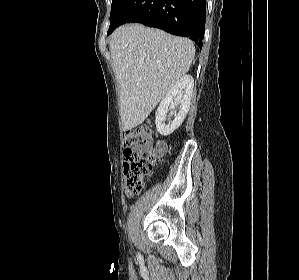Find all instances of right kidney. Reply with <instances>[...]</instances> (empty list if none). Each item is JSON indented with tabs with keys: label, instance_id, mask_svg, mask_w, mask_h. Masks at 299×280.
Segmentation results:
<instances>
[{
	"label": "right kidney",
	"instance_id": "1",
	"mask_svg": "<svg viewBox=\"0 0 299 280\" xmlns=\"http://www.w3.org/2000/svg\"><path fill=\"white\" fill-rule=\"evenodd\" d=\"M193 87V77L183 75L163 97L157 108L155 119L157 131L161 135L168 136L181 126L189 111ZM169 109L172 110L175 118L166 124L165 120Z\"/></svg>",
	"mask_w": 299,
	"mask_h": 280
}]
</instances>
